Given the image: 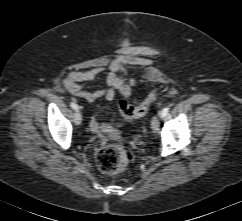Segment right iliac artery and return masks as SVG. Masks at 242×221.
<instances>
[{
    "label": "right iliac artery",
    "mask_w": 242,
    "mask_h": 221,
    "mask_svg": "<svg viewBox=\"0 0 242 221\" xmlns=\"http://www.w3.org/2000/svg\"><path fill=\"white\" fill-rule=\"evenodd\" d=\"M70 106H71L72 109H74V110H78V109H79L78 105H77L76 103H74V102H71V103H70Z\"/></svg>",
    "instance_id": "1"
}]
</instances>
